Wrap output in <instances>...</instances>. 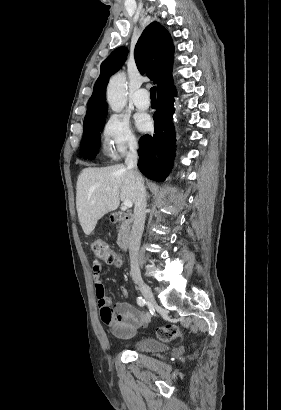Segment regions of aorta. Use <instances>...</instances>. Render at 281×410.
Segmentation results:
<instances>
[{
  "label": "aorta",
  "mask_w": 281,
  "mask_h": 410,
  "mask_svg": "<svg viewBox=\"0 0 281 410\" xmlns=\"http://www.w3.org/2000/svg\"><path fill=\"white\" fill-rule=\"evenodd\" d=\"M126 78L122 73L114 75L107 86V101L114 112H120L127 103Z\"/></svg>",
  "instance_id": "aorta-1"
}]
</instances>
